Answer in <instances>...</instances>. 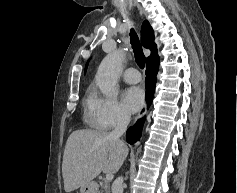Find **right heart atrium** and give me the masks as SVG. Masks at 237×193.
I'll use <instances>...</instances> for the list:
<instances>
[{"instance_id": "1", "label": "right heart atrium", "mask_w": 237, "mask_h": 193, "mask_svg": "<svg viewBox=\"0 0 237 193\" xmlns=\"http://www.w3.org/2000/svg\"><path fill=\"white\" fill-rule=\"evenodd\" d=\"M90 111L93 124L102 130L124 126L130 119L128 111L114 94H101L95 91L92 94Z\"/></svg>"}]
</instances>
